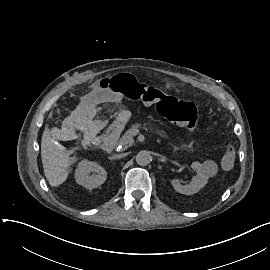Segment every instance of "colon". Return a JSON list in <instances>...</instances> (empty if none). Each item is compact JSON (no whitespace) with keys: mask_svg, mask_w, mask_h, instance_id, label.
<instances>
[{"mask_svg":"<svg viewBox=\"0 0 270 270\" xmlns=\"http://www.w3.org/2000/svg\"><path fill=\"white\" fill-rule=\"evenodd\" d=\"M102 82L110 81L104 79ZM111 82V89L114 92L147 106L155 105L157 111L175 125L188 130L197 128L200 117L193 102L168 95L153 86L141 83L131 75L124 79L114 78ZM222 149L223 155L219 159V169L223 174L230 175L236 169V159L232 155L233 142L229 139L224 140Z\"/></svg>","mask_w":270,"mask_h":270,"instance_id":"1","label":"colon"}]
</instances>
